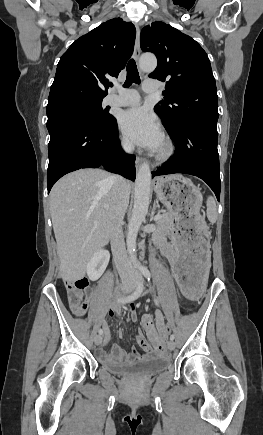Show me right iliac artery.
<instances>
[{
    "label": "right iliac artery",
    "instance_id": "obj_1",
    "mask_svg": "<svg viewBox=\"0 0 263 435\" xmlns=\"http://www.w3.org/2000/svg\"><path fill=\"white\" fill-rule=\"evenodd\" d=\"M142 291H143V284L141 282H139L138 287L136 288V290L132 294L125 296V297H122V298H119L118 302L127 303V302L134 301L141 295ZM98 333L101 335V334H103V331L101 329H99Z\"/></svg>",
    "mask_w": 263,
    "mask_h": 435
}]
</instances>
